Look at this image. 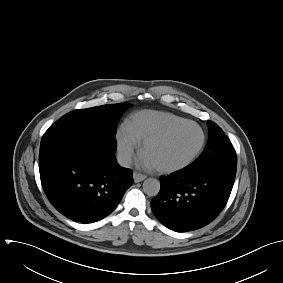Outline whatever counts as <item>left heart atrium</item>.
<instances>
[{
    "label": "left heart atrium",
    "mask_w": 283,
    "mask_h": 283,
    "mask_svg": "<svg viewBox=\"0 0 283 283\" xmlns=\"http://www.w3.org/2000/svg\"><path fill=\"white\" fill-rule=\"evenodd\" d=\"M139 165L145 168H154V165L145 154L140 156Z\"/></svg>",
    "instance_id": "39dd6f15"
}]
</instances>
